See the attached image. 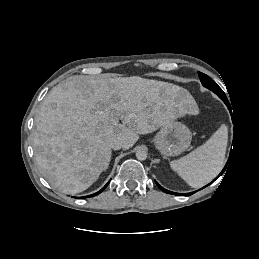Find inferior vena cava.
Here are the masks:
<instances>
[{
    "label": "inferior vena cava",
    "instance_id": "1",
    "mask_svg": "<svg viewBox=\"0 0 259 259\" xmlns=\"http://www.w3.org/2000/svg\"><path fill=\"white\" fill-rule=\"evenodd\" d=\"M110 147L114 150H119L123 148V142L120 139H114L111 141Z\"/></svg>",
    "mask_w": 259,
    "mask_h": 259
}]
</instances>
